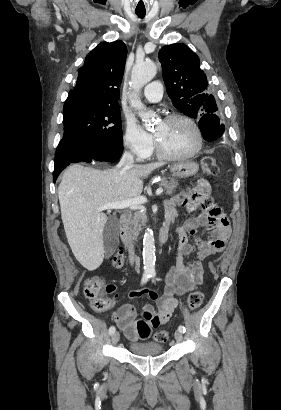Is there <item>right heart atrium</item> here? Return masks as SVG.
Masks as SVG:
<instances>
[{
  "label": "right heart atrium",
  "instance_id": "right-heart-atrium-1",
  "mask_svg": "<svg viewBox=\"0 0 281 410\" xmlns=\"http://www.w3.org/2000/svg\"><path fill=\"white\" fill-rule=\"evenodd\" d=\"M124 146L138 159H144L152 153L153 139L135 122L127 121L124 133Z\"/></svg>",
  "mask_w": 281,
  "mask_h": 410
}]
</instances>
